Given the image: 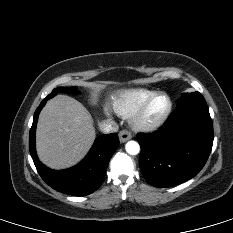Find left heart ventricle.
<instances>
[{
  "instance_id": "1",
  "label": "left heart ventricle",
  "mask_w": 233,
  "mask_h": 233,
  "mask_svg": "<svg viewBox=\"0 0 233 233\" xmlns=\"http://www.w3.org/2000/svg\"><path fill=\"white\" fill-rule=\"evenodd\" d=\"M168 105L167 99L163 96L156 98L145 114V121L146 122H153L157 120L166 110Z\"/></svg>"
}]
</instances>
